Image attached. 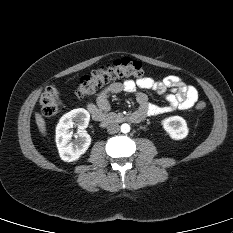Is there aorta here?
Segmentation results:
<instances>
[{
  "instance_id": "obj_1",
  "label": "aorta",
  "mask_w": 233,
  "mask_h": 233,
  "mask_svg": "<svg viewBox=\"0 0 233 233\" xmlns=\"http://www.w3.org/2000/svg\"><path fill=\"white\" fill-rule=\"evenodd\" d=\"M122 133H128L130 131V126L127 123H124L120 127Z\"/></svg>"
}]
</instances>
